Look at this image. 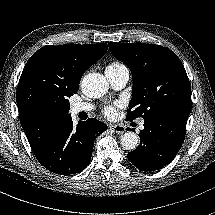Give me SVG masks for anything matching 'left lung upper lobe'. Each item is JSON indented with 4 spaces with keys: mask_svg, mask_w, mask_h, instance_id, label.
Instances as JSON below:
<instances>
[{
    "mask_svg": "<svg viewBox=\"0 0 215 215\" xmlns=\"http://www.w3.org/2000/svg\"><path fill=\"white\" fill-rule=\"evenodd\" d=\"M109 50L133 76L127 120L191 112V87L185 68L170 49L144 43L109 42Z\"/></svg>",
    "mask_w": 215,
    "mask_h": 215,
    "instance_id": "left-lung-upper-lobe-1",
    "label": "left lung upper lobe"
}]
</instances>
